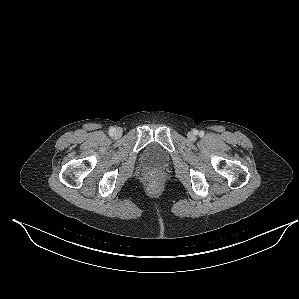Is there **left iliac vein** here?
Returning <instances> with one entry per match:
<instances>
[{
    "instance_id": "4c4485c4",
    "label": "left iliac vein",
    "mask_w": 299,
    "mask_h": 299,
    "mask_svg": "<svg viewBox=\"0 0 299 299\" xmlns=\"http://www.w3.org/2000/svg\"><path fill=\"white\" fill-rule=\"evenodd\" d=\"M194 137H195V135H194L192 132H189V133H188V138H189V139L192 140V139H194Z\"/></svg>"
}]
</instances>
